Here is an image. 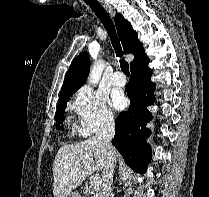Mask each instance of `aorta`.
<instances>
[{"label": "aorta", "mask_w": 209, "mask_h": 197, "mask_svg": "<svg viewBox=\"0 0 209 197\" xmlns=\"http://www.w3.org/2000/svg\"><path fill=\"white\" fill-rule=\"evenodd\" d=\"M104 63L102 61H97L91 68L90 76L88 81L92 84H97L101 78L102 72L104 70Z\"/></svg>", "instance_id": "762f6f07"}]
</instances>
